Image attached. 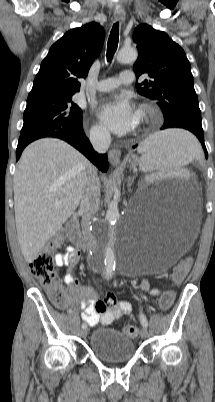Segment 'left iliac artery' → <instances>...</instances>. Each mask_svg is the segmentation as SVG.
I'll list each match as a JSON object with an SVG mask.
<instances>
[{
    "mask_svg": "<svg viewBox=\"0 0 215 402\" xmlns=\"http://www.w3.org/2000/svg\"><path fill=\"white\" fill-rule=\"evenodd\" d=\"M140 322H141L143 327L148 326V320H147L146 316L143 314L142 311L140 312Z\"/></svg>",
    "mask_w": 215,
    "mask_h": 402,
    "instance_id": "1",
    "label": "left iliac artery"
}]
</instances>
